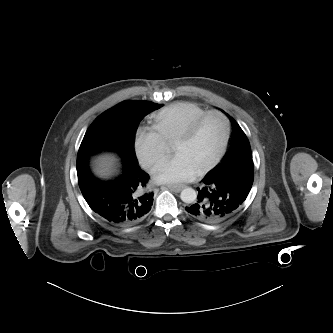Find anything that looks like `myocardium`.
I'll use <instances>...</instances> for the list:
<instances>
[{
  "instance_id": "1",
  "label": "myocardium",
  "mask_w": 333,
  "mask_h": 333,
  "mask_svg": "<svg viewBox=\"0 0 333 333\" xmlns=\"http://www.w3.org/2000/svg\"><path fill=\"white\" fill-rule=\"evenodd\" d=\"M211 115H217V116L221 117V119L223 120V122L225 124L224 140H223L222 146H221L218 154L216 155V157L211 162H209L207 165L200 168L197 171L198 175H202V174L210 171L211 169H213L225 155L227 148L229 146L231 134H232V125H231V121H230L229 117L220 110L206 111L205 113H203L202 115L197 117L194 121H192L175 139V142L176 141H187V140L191 139L194 136V134L196 133V131L199 128V126L201 125V123L207 117H209Z\"/></svg>"
}]
</instances>
